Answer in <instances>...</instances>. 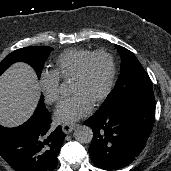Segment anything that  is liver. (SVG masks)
I'll return each mask as SVG.
<instances>
[{
	"mask_svg": "<svg viewBox=\"0 0 171 171\" xmlns=\"http://www.w3.org/2000/svg\"><path fill=\"white\" fill-rule=\"evenodd\" d=\"M35 71L26 63L13 64L0 77V124L15 127L25 122L39 101Z\"/></svg>",
	"mask_w": 171,
	"mask_h": 171,
	"instance_id": "6515ba94",
	"label": "liver"
}]
</instances>
